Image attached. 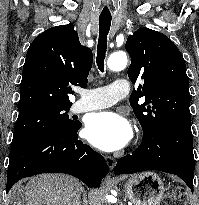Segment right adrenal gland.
<instances>
[{
	"label": "right adrenal gland",
	"mask_w": 199,
	"mask_h": 205,
	"mask_svg": "<svg viewBox=\"0 0 199 205\" xmlns=\"http://www.w3.org/2000/svg\"><path fill=\"white\" fill-rule=\"evenodd\" d=\"M82 196H83V205H87V195L85 190H82Z\"/></svg>",
	"instance_id": "1"
}]
</instances>
